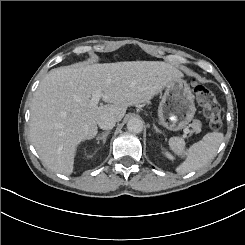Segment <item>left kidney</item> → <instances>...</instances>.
<instances>
[{"label": "left kidney", "mask_w": 245, "mask_h": 245, "mask_svg": "<svg viewBox=\"0 0 245 245\" xmlns=\"http://www.w3.org/2000/svg\"><path fill=\"white\" fill-rule=\"evenodd\" d=\"M160 150L164 154V156L170 161H176V157L173 153H171L168 149H166L162 143H159Z\"/></svg>", "instance_id": "1"}]
</instances>
